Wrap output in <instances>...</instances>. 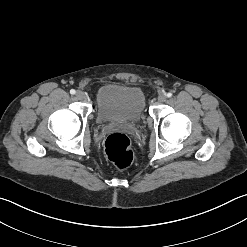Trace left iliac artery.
I'll list each match as a JSON object with an SVG mask.
<instances>
[{
    "mask_svg": "<svg viewBox=\"0 0 247 247\" xmlns=\"http://www.w3.org/2000/svg\"><path fill=\"white\" fill-rule=\"evenodd\" d=\"M166 96H167L168 98H170V97H172V93L169 92V93L166 94Z\"/></svg>",
    "mask_w": 247,
    "mask_h": 247,
    "instance_id": "left-iliac-artery-1",
    "label": "left iliac artery"
}]
</instances>
